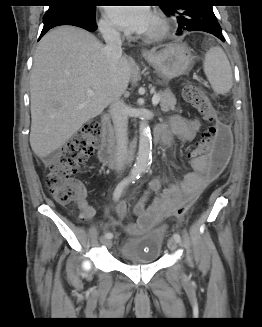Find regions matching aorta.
Instances as JSON below:
<instances>
[{"mask_svg": "<svg viewBox=\"0 0 262 327\" xmlns=\"http://www.w3.org/2000/svg\"><path fill=\"white\" fill-rule=\"evenodd\" d=\"M139 148L136 158V162L131 170V177L136 178L137 176L144 173L150 165L151 151H152V138L150 128L146 120H142L139 126Z\"/></svg>", "mask_w": 262, "mask_h": 327, "instance_id": "aorta-1", "label": "aorta"}]
</instances>
